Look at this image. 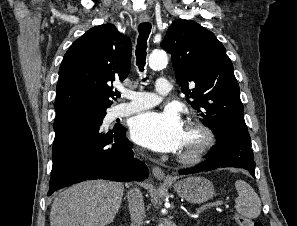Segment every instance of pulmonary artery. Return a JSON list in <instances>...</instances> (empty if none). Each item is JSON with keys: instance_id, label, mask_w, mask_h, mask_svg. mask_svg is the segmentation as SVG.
<instances>
[{"instance_id": "e3ab8cb5", "label": "pulmonary artery", "mask_w": 297, "mask_h": 226, "mask_svg": "<svg viewBox=\"0 0 297 226\" xmlns=\"http://www.w3.org/2000/svg\"><path fill=\"white\" fill-rule=\"evenodd\" d=\"M155 88V93L128 91L126 97L130 99V102L115 105L111 110L112 117L127 116L157 105L161 96L168 95L171 92L172 86L166 78H159L156 81Z\"/></svg>"}]
</instances>
